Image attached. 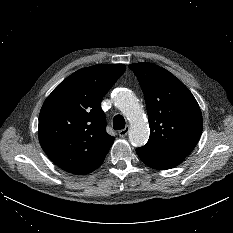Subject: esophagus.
Listing matches in <instances>:
<instances>
[{"label":"esophagus","mask_w":233,"mask_h":233,"mask_svg":"<svg viewBox=\"0 0 233 233\" xmlns=\"http://www.w3.org/2000/svg\"><path fill=\"white\" fill-rule=\"evenodd\" d=\"M129 132V126H126L124 129L119 131V136L124 138Z\"/></svg>","instance_id":"obj_1"}]
</instances>
